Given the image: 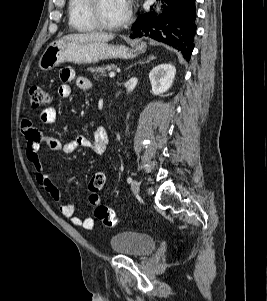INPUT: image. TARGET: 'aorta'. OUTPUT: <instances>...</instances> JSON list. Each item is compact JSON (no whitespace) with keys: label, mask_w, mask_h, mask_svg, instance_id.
I'll list each match as a JSON object with an SVG mask.
<instances>
[{"label":"aorta","mask_w":267,"mask_h":301,"mask_svg":"<svg viewBox=\"0 0 267 301\" xmlns=\"http://www.w3.org/2000/svg\"><path fill=\"white\" fill-rule=\"evenodd\" d=\"M156 12L159 13L160 12V6L156 7Z\"/></svg>","instance_id":"aorta-1"}]
</instances>
